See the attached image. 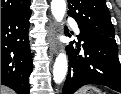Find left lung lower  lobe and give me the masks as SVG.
<instances>
[{"instance_id": "left-lung-lower-lobe-1", "label": "left lung lower lobe", "mask_w": 121, "mask_h": 94, "mask_svg": "<svg viewBox=\"0 0 121 94\" xmlns=\"http://www.w3.org/2000/svg\"><path fill=\"white\" fill-rule=\"evenodd\" d=\"M80 42L66 48L69 56L68 75L62 94H73L87 84H99L121 92V65L114 38L81 30Z\"/></svg>"}]
</instances>
